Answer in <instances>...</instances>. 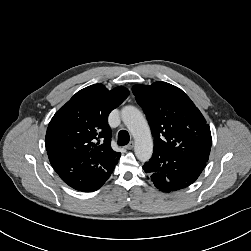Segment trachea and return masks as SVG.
Here are the masks:
<instances>
[{
    "label": "trachea",
    "instance_id": "3493384b",
    "mask_svg": "<svg viewBox=\"0 0 251 251\" xmlns=\"http://www.w3.org/2000/svg\"><path fill=\"white\" fill-rule=\"evenodd\" d=\"M130 136L129 133L126 130H121L118 133V145L124 146L129 143Z\"/></svg>",
    "mask_w": 251,
    "mask_h": 251
}]
</instances>
